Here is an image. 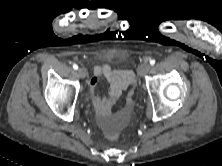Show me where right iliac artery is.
Returning a JSON list of instances; mask_svg holds the SVG:
<instances>
[{
	"mask_svg": "<svg viewBox=\"0 0 222 166\" xmlns=\"http://www.w3.org/2000/svg\"><path fill=\"white\" fill-rule=\"evenodd\" d=\"M73 68H74L75 70H77V69H78V65H77V64H73Z\"/></svg>",
	"mask_w": 222,
	"mask_h": 166,
	"instance_id": "1",
	"label": "right iliac artery"
}]
</instances>
